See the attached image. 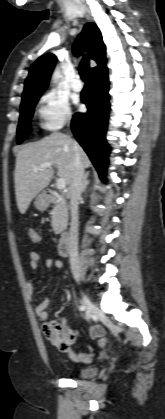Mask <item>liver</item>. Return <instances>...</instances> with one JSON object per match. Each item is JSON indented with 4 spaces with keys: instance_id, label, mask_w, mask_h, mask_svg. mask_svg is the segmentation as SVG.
I'll return each mask as SVG.
<instances>
[{
    "instance_id": "6515ba94",
    "label": "liver",
    "mask_w": 165,
    "mask_h": 419,
    "mask_svg": "<svg viewBox=\"0 0 165 419\" xmlns=\"http://www.w3.org/2000/svg\"><path fill=\"white\" fill-rule=\"evenodd\" d=\"M75 143L84 168L89 167L90 160L81 146L70 136L60 132H54L38 142L27 144L17 153L14 183L17 206L21 214L26 212L32 199L50 183L54 174L52 166L57 168L58 176L70 185ZM47 162L52 166L33 171L34 167Z\"/></svg>"
}]
</instances>
